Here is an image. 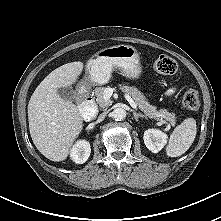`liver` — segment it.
Masks as SVG:
<instances>
[{
  "mask_svg": "<svg viewBox=\"0 0 221 221\" xmlns=\"http://www.w3.org/2000/svg\"><path fill=\"white\" fill-rule=\"evenodd\" d=\"M83 67V63L77 61L56 68L30 98V135L39 152L51 161L65 160L83 130V118L77 106L58 94V89L76 83Z\"/></svg>",
  "mask_w": 221,
  "mask_h": 221,
  "instance_id": "obj_1",
  "label": "liver"
}]
</instances>
